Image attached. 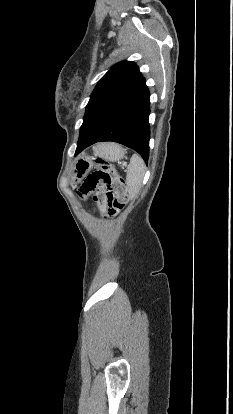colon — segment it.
I'll list each match as a JSON object with an SVG mask.
<instances>
[{
    "label": "colon",
    "instance_id": "colon-1",
    "mask_svg": "<svg viewBox=\"0 0 233 414\" xmlns=\"http://www.w3.org/2000/svg\"><path fill=\"white\" fill-rule=\"evenodd\" d=\"M94 192V200L106 216H112L127 203L126 183L108 161L97 159L86 178L82 194Z\"/></svg>",
    "mask_w": 233,
    "mask_h": 414
}]
</instances>
